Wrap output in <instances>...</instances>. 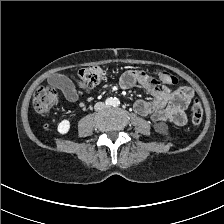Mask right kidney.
<instances>
[{
  "instance_id": "ca27d5eb",
  "label": "right kidney",
  "mask_w": 224,
  "mask_h": 224,
  "mask_svg": "<svg viewBox=\"0 0 224 224\" xmlns=\"http://www.w3.org/2000/svg\"><path fill=\"white\" fill-rule=\"evenodd\" d=\"M58 132L62 135L67 134L68 131L70 130V122L67 119L62 120L59 124H58V128H57Z\"/></svg>"
}]
</instances>
